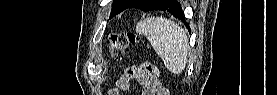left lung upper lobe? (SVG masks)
I'll use <instances>...</instances> for the list:
<instances>
[{"label": "left lung upper lobe", "instance_id": "obj_1", "mask_svg": "<svg viewBox=\"0 0 277 95\" xmlns=\"http://www.w3.org/2000/svg\"><path fill=\"white\" fill-rule=\"evenodd\" d=\"M134 0H114L111 17L117 15L118 13L125 10ZM164 2V0H152L150 4V8H156L159 5H161ZM176 5H178V2H176ZM110 17V18H111Z\"/></svg>", "mask_w": 277, "mask_h": 95}]
</instances>
